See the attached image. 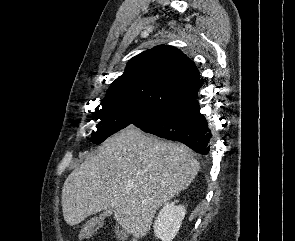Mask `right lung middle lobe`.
Instances as JSON below:
<instances>
[{
    "mask_svg": "<svg viewBox=\"0 0 295 241\" xmlns=\"http://www.w3.org/2000/svg\"><path fill=\"white\" fill-rule=\"evenodd\" d=\"M163 113L161 110L148 108L131 101L105 98L93 112L94 119L99 122L91 141L100 144L129 125L140 128L158 119Z\"/></svg>",
    "mask_w": 295,
    "mask_h": 241,
    "instance_id": "obj_1",
    "label": "right lung middle lobe"
}]
</instances>
